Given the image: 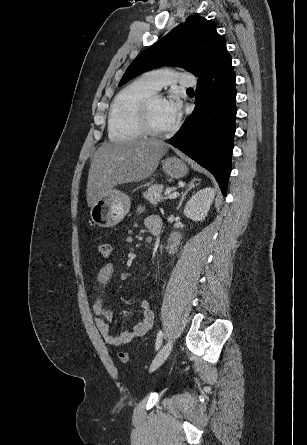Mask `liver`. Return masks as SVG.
Segmentation results:
<instances>
[{
	"mask_svg": "<svg viewBox=\"0 0 307 445\" xmlns=\"http://www.w3.org/2000/svg\"><path fill=\"white\" fill-rule=\"evenodd\" d=\"M171 144L163 140L103 142L95 150L88 172L86 198L93 206L98 198L111 194L117 184L139 182L151 176Z\"/></svg>",
	"mask_w": 307,
	"mask_h": 445,
	"instance_id": "1",
	"label": "liver"
}]
</instances>
